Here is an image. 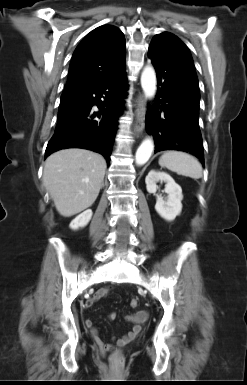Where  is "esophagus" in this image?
Listing matches in <instances>:
<instances>
[{
	"label": "esophagus",
	"mask_w": 247,
	"mask_h": 385,
	"mask_svg": "<svg viewBox=\"0 0 247 385\" xmlns=\"http://www.w3.org/2000/svg\"><path fill=\"white\" fill-rule=\"evenodd\" d=\"M145 99L143 95H139L137 99V107L135 110V115H136V123L134 130L136 134H140L145 126Z\"/></svg>",
	"instance_id": "obj_1"
}]
</instances>
